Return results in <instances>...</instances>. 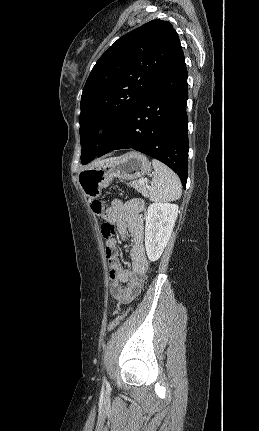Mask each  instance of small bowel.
<instances>
[{
  "label": "small bowel",
  "instance_id": "obj_1",
  "mask_svg": "<svg viewBox=\"0 0 259 431\" xmlns=\"http://www.w3.org/2000/svg\"><path fill=\"white\" fill-rule=\"evenodd\" d=\"M143 202L131 200L123 203L114 199L106 211L105 220L113 223L119 236L132 239L129 268L120 261L118 242L114 238L106 240V258L110 269V292L119 305L133 301L141 292L148 270V259L144 249ZM121 312L118 308L116 313Z\"/></svg>",
  "mask_w": 259,
  "mask_h": 431
}]
</instances>
